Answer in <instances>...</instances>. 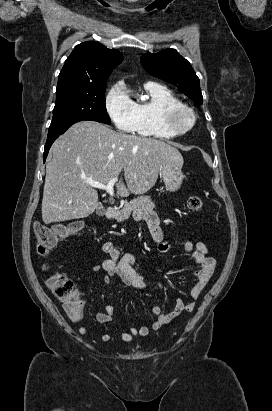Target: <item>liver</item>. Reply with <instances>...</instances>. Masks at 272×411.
I'll use <instances>...</instances> for the list:
<instances>
[{
	"label": "liver",
	"mask_w": 272,
	"mask_h": 411,
	"mask_svg": "<svg viewBox=\"0 0 272 411\" xmlns=\"http://www.w3.org/2000/svg\"><path fill=\"white\" fill-rule=\"evenodd\" d=\"M183 166L178 149L164 141L115 132L93 121H81L62 134L50 149L42 200L45 224L88 217L98 206L96 188L118 178L120 196L143 194L156 183L160 165Z\"/></svg>",
	"instance_id": "6515ba94"
}]
</instances>
